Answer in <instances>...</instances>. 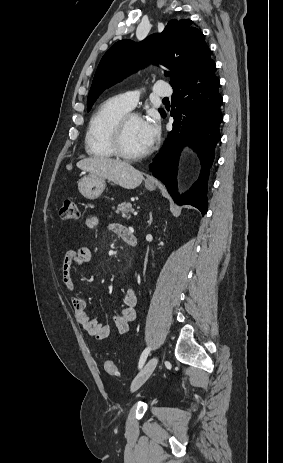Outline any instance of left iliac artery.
Wrapping results in <instances>:
<instances>
[{"instance_id": "44dca946", "label": "left iliac artery", "mask_w": 283, "mask_h": 463, "mask_svg": "<svg viewBox=\"0 0 283 463\" xmlns=\"http://www.w3.org/2000/svg\"><path fill=\"white\" fill-rule=\"evenodd\" d=\"M150 350H151V348H150V347H147V348L143 351V353H142V355H141V357H140V360H139V369L143 367V365H144V363H145V361H146V359H147V356H148Z\"/></svg>"}]
</instances>
